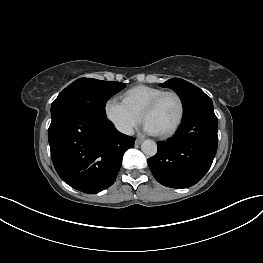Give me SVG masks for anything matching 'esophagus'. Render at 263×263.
<instances>
[{"instance_id": "esophagus-1", "label": "esophagus", "mask_w": 263, "mask_h": 263, "mask_svg": "<svg viewBox=\"0 0 263 263\" xmlns=\"http://www.w3.org/2000/svg\"><path fill=\"white\" fill-rule=\"evenodd\" d=\"M141 142H142V139L137 138V139L135 140V145H139Z\"/></svg>"}]
</instances>
